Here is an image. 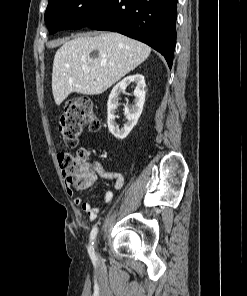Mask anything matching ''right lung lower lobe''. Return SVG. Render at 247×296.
Returning a JSON list of instances; mask_svg holds the SVG:
<instances>
[{
	"label": "right lung lower lobe",
	"mask_w": 247,
	"mask_h": 296,
	"mask_svg": "<svg viewBox=\"0 0 247 296\" xmlns=\"http://www.w3.org/2000/svg\"><path fill=\"white\" fill-rule=\"evenodd\" d=\"M178 0H104L86 26L137 39L160 52L171 68L176 44Z\"/></svg>",
	"instance_id": "1"
}]
</instances>
